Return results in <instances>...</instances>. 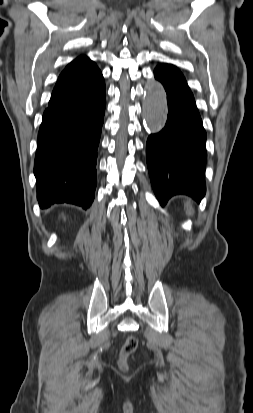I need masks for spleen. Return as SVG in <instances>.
Instances as JSON below:
<instances>
[{
	"label": "spleen",
	"mask_w": 253,
	"mask_h": 413,
	"mask_svg": "<svg viewBox=\"0 0 253 413\" xmlns=\"http://www.w3.org/2000/svg\"><path fill=\"white\" fill-rule=\"evenodd\" d=\"M185 208H186V213L188 214V215H193V208H192V206H191V204H190V202L188 201L186 204H185Z\"/></svg>",
	"instance_id": "obj_1"
}]
</instances>
